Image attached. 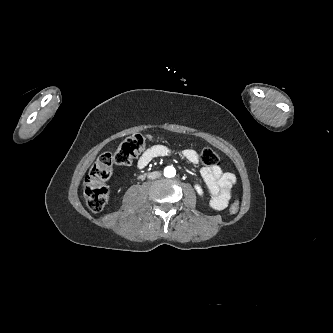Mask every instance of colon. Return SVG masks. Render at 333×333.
<instances>
[{
    "mask_svg": "<svg viewBox=\"0 0 333 333\" xmlns=\"http://www.w3.org/2000/svg\"><path fill=\"white\" fill-rule=\"evenodd\" d=\"M150 138L144 134H133L124 139L114 152L103 153L95 162L84 180V196L90 210L101 211L108 202V190L105 182L110 178L115 166L130 165L145 149ZM201 162L206 166L219 163V156L210 148L200 154ZM239 210V202L235 200L229 208L231 214Z\"/></svg>",
    "mask_w": 333,
    "mask_h": 333,
    "instance_id": "colon-1",
    "label": "colon"
}]
</instances>
